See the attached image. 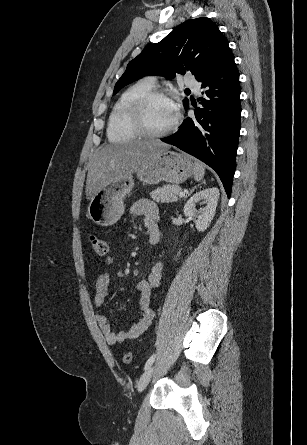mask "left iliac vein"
I'll list each match as a JSON object with an SVG mask.
<instances>
[{
    "instance_id": "left-iliac-vein-1",
    "label": "left iliac vein",
    "mask_w": 307,
    "mask_h": 445,
    "mask_svg": "<svg viewBox=\"0 0 307 445\" xmlns=\"http://www.w3.org/2000/svg\"><path fill=\"white\" fill-rule=\"evenodd\" d=\"M154 371V366H150L145 372L142 374L139 382H138V391H143L145 387L148 385Z\"/></svg>"
}]
</instances>
